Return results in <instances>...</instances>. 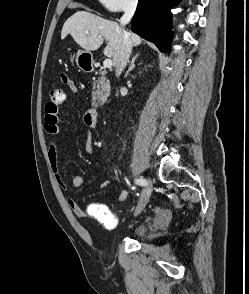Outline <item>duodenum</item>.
<instances>
[{"label": "duodenum", "instance_id": "obj_1", "mask_svg": "<svg viewBox=\"0 0 249 294\" xmlns=\"http://www.w3.org/2000/svg\"><path fill=\"white\" fill-rule=\"evenodd\" d=\"M85 69L88 70V71H92V70H93V65L88 64V65L85 66ZM87 113H88L89 118H90L93 122H95V123L97 124V120H98V112H97V107H96V105L93 106V107H91V108L88 110Z\"/></svg>", "mask_w": 249, "mask_h": 294}]
</instances>
